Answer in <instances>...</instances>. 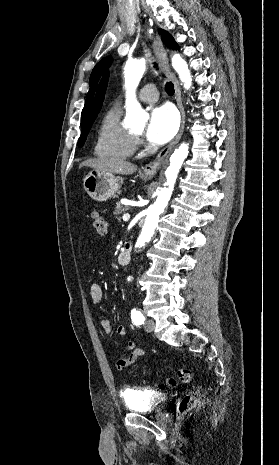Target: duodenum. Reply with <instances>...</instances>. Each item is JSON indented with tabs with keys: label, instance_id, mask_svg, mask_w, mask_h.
I'll list each match as a JSON object with an SVG mask.
<instances>
[{
	"label": "duodenum",
	"instance_id": "obj_1",
	"mask_svg": "<svg viewBox=\"0 0 279 465\" xmlns=\"http://www.w3.org/2000/svg\"><path fill=\"white\" fill-rule=\"evenodd\" d=\"M132 245L130 243H126L124 247L118 254V262L121 265H126L130 261V253H131Z\"/></svg>",
	"mask_w": 279,
	"mask_h": 465
}]
</instances>
